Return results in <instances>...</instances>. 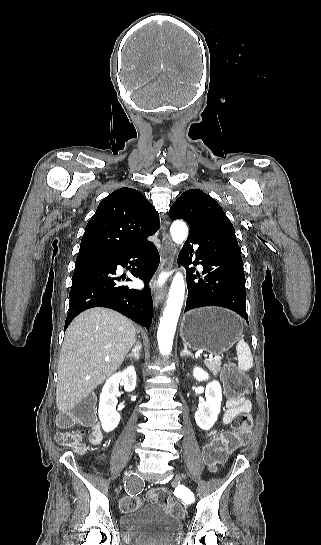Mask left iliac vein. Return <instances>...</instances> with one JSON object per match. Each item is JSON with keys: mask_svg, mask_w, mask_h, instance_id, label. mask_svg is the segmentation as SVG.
<instances>
[{"mask_svg": "<svg viewBox=\"0 0 321 545\" xmlns=\"http://www.w3.org/2000/svg\"><path fill=\"white\" fill-rule=\"evenodd\" d=\"M183 480H184L183 476L180 475L179 473H176V475H175V481L178 482V483H180V482H182Z\"/></svg>", "mask_w": 321, "mask_h": 545, "instance_id": "4c4485c4", "label": "left iliac vein"}]
</instances>
